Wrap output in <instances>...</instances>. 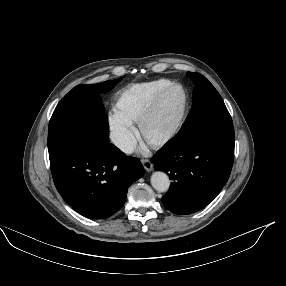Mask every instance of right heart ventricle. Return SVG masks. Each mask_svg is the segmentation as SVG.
Wrapping results in <instances>:
<instances>
[{
    "instance_id": "right-heart-ventricle-1",
    "label": "right heart ventricle",
    "mask_w": 286,
    "mask_h": 286,
    "mask_svg": "<svg viewBox=\"0 0 286 286\" xmlns=\"http://www.w3.org/2000/svg\"><path fill=\"white\" fill-rule=\"evenodd\" d=\"M173 82L160 78L149 82L130 84L116 97L117 110L132 123H137L151 100Z\"/></svg>"
}]
</instances>
